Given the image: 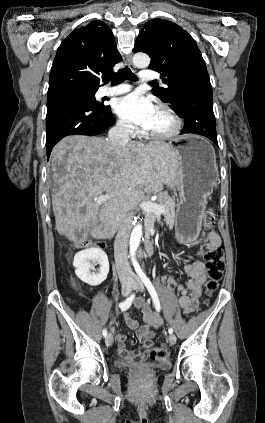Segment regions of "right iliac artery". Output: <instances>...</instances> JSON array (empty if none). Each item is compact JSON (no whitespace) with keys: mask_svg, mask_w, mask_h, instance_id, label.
<instances>
[{"mask_svg":"<svg viewBox=\"0 0 265 423\" xmlns=\"http://www.w3.org/2000/svg\"><path fill=\"white\" fill-rule=\"evenodd\" d=\"M134 297H135V295L134 294H131L124 302H121L119 304L120 309L122 311L127 310L131 306V304H132V302L134 300ZM103 336L104 337L107 336V330H106V328L103 329Z\"/></svg>","mask_w":265,"mask_h":423,"instance_id":"obj_1","label":"right iliac artery"}]
</instances>
